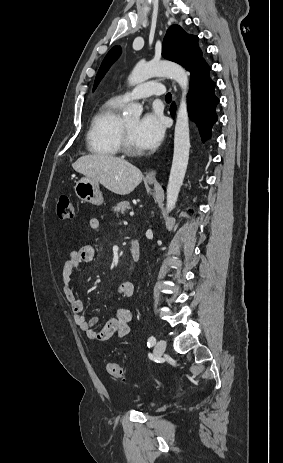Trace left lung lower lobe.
Here are the masks:
<instances>
[{
    "mask_svg": "<svg viewBox=\"0 0 283 463\" xmlns=\"http://www.w3.org/2000/svg\"><path fill=\"white\" fill-rule=\"evenodd\" d=\"M190 75V91L188 93V113L199 128L203 142L211 135V128L217 121L215 113L219 99L214 94L215 83L209 77L210 68L203 60L195 63L188 70ZM175 104L171 105L170 112L174 117Z\"/></svg>",
    "mask_w": 283,
    "mask_h": 463,
    "instance_id": "1",
    "label": "left lung lower lobe"
}]
</instances>
